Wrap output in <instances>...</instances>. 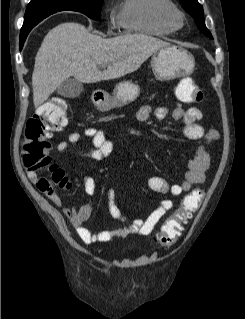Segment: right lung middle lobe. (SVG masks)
I'll use <instances>...</instances> for the list:
<instances>
[{
	"label": "right lung middle lobe",
	"mask_w": 245,
	"mask_h": 319,
	"mask_svg": "<svg viewBox=\"0 0 245 319\" xmlns=\"http://www.w3.org/2000/svg\"><path fill=\"white\" fill-rule=\"evenodd\" d=\"M103 0H65L63 2H57L54 4L55 7H60L64 10H71L84 13L89 18L94 20H100L101 18V4ZM51 2H33L31 1L26 9V13H30L37 7H51ZM25 13V15H26ZM25 23L23 24L24 28Z\"/></svg>",
	"instance_id": "right-lung-middle-lobe-1"
}]
</instances>
